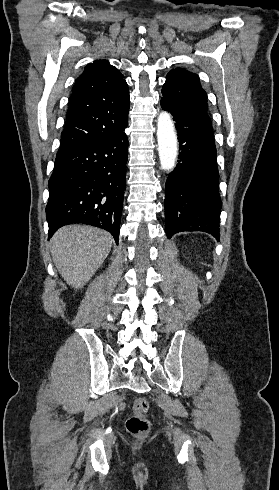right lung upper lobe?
<instances>
[{
	"label": "right lung upper lobe",
	"instance_id": "cb5924a9",
	"mask_svg": "<svg viewBox=\"0 0 279 490\" xmlns=\"http://www.w3.org/2000/svg\"><path fill=\"white\" fill-rule=\"evenodd\" d=\"M129 91L108 61L87 65L75 81L57 154L93 143L128 124Z\"/></svg>",
	"mask_w": 279,
	"mask_h": 490
}]
</instances>
